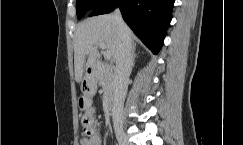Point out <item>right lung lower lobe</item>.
I'll use <instances>...</instances> for the list:
<instances>
[{
  "label": "right lung lower lobe",
  "instance_id": "98d812e1",
  "mask_svg": "<svg viewBox=\"0 0 243 145\" xmlns=\"http://www.w3.org/2000/svg\"><path fill=\"white\" fill-rule=\"evenodd\" d=\"M175 0H103L89 16L119 7L125 22L141 41L157 54L163 44Z\"/></svg>",
  "mask_w": 243,
  "mask_h": 145
}]
</instances>
